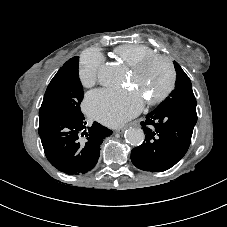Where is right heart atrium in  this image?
Returning a JSON list of instances; mask_svg holds the SVG:
<instances>
[{
    "label": "right heart atrium",
    "instance_id": "right-heart-atrium-1",
    "mask_svg": "<svg viewBox=\"0 0 227 227\" xmlns=\"http://www.w3.org/2000/svg\"><path fill=\"white\" fill-rule=\"evenodd\" d=\"M103 62L102 54L95 49H89L82 55L79 66V79L83 86L91 87L97 82Z\"/></svg>",
    "mask_w": 227,
    "mask_h": 227
}]
</instances>
